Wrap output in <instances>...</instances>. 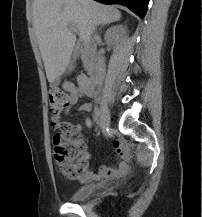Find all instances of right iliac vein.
<instances>
[{"mask_svg": "<svg viewBox=\"0 0 202 217\" xmlns=\"http://www.w3.org/2000/svg\"><path fill=\"white\" fill-rule=\"evenodd\" d=\"M101 107V126L106 130L110 126V114L106 102L103 98H99Z\"/></svg>", "mask_w": 202, "mask_h": 217, "instance_id": "right-iliac-vein-1", "label": "right iliac vein"}]
</instances>
